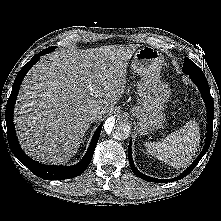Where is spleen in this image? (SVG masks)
<instances>
[{"label":"spleen","instance_id":"spleen-1","mask_svg":"<svg viewBox=\"0 0 221 221\" xmlns=\"http://www.w3.org/2000/svg\"><path fill=\"white\" fill-rule=\"evenodd\" d=\"M199 139V126L195 121H190L162 141L145 142L144 146L153 157L179 169L187 167L191 162L197 151Z\"/></svg>","mask_w":221,"mask_h":221}]
</instances>
